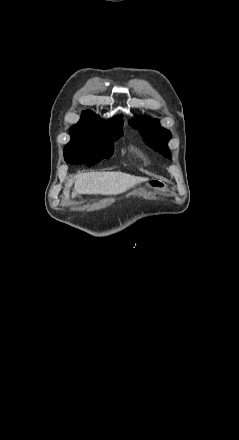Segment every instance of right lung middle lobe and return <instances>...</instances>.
<instances>
[{"label": "right lung middle lobe", "instance_id": "1", "mask_svg": "<svg viewBox=\"0 0 239 440\" xmlns=\"http://www.w3.org/2000/svg\"><path fill=\"white\" fill-rule=\"evenodd\" d=\"M123 134L122 127L98 122H81L70 128L71 140L64 151L80 147H92L100 151L113 152L114 141Z\"/></svg>", "mask_w": 239, "mask_h": 440}]
</instances>
